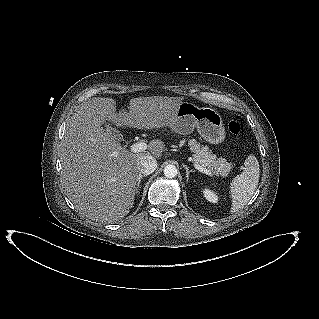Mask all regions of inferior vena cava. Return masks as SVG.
I'll return each mask as SVG.
<instances>
[{
  "label": "inferior vena cava",
  "instance_id": "inferior-vena-cava-1",
  "mask_svg": "<svg viewBox=\"0 0 319 319\" xmlns=\"http://www.w3.org/2000/svg\"><path fill=\"white\" fill-rule=\"evenodd\" d=\"M139 163L140 164H139L138 170L140 174L149 175L153 173L157 168V161L151 155H147L144 158H141Z\"/></svg>",
  "mask_w": 319,
  "mask_h": 319
}]
</instances>
